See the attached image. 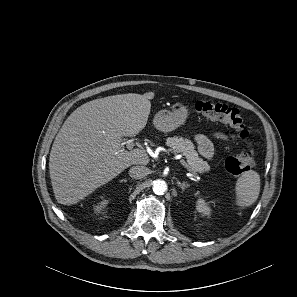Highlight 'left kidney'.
<instances>
[{"label":"left kidney","mask_w":297,"mask_h":297,"mask_svg":"<svg viewBox=\"0 0 297 297\" xmlns=\"http://www.w3.org/2000/svg\"><path fill=\"white\" fill-rule=\"evenodd\" d=\"M196 209L199 213L206 215V216L210 215V213H211V209L208 207V205L205 203V201L201 198L197 200Z\"/></svg>","instance_id":"1"}]
</instances>
